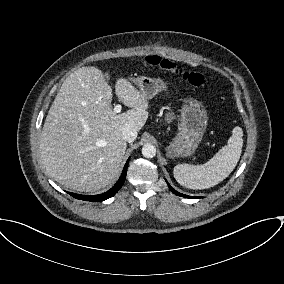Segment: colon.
Segmentation results:
<instances>
[{
    "label": "colon",
    "mask_w": 284,
    "mask_h": 284,
    "mask_svg": "<svg viewBox=\"0 0 284 284\" xmlns=\"http://www.w3.org/2000/svg\"><path fill=\"white\" fill-rule=\"evenodd\" d=\"M147 63L152 67L172 73L193 87L199 88L205 85L206 80L202 74L180 69L169 59L154 55L147 58Z\"/></svg>",
    "instance_id": "5ec220e1"
}]
</instances>
